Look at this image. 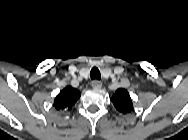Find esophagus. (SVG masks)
I'll use <instances>...</instances> for the list:
<instances>
[{
    "label": "esophagus",
    "mask_w": 188,
    "mask_h": 140,
    "mask_svg": "<svg viewBox=\"0 0 188 140\" xmlns=\"http://www.w3.org/2000/svg\"><path fill=\"white\" fill-rule=\"evenodd\" d=\"M92 87L95 88V89H101L102 87V82L101 81H98V80H94L92 82Z\"/></svg>",
    "instance_id": "34e87169"
}]
</instances>
